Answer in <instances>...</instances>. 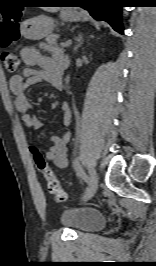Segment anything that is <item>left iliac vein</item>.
Listing matches in <instances>:
<instances>
[{
	"label": "left iliac vein",
	"instance_id": "obj_1",
	"mask_svg": "<svg viewBox=\"0 0 156 266\" xmlns=\"http://www.w3.org/2000/svg\"><path fill=\"white\" fill-rule=\"evenodd\" d=\"M89 185H93V188L89 189V194L84 198V201L90 199L98 188V175L93 168L89 171Z\"/></svg>",
	"mask_w": 156,
	"mask_h": 266
}]
</instances>
